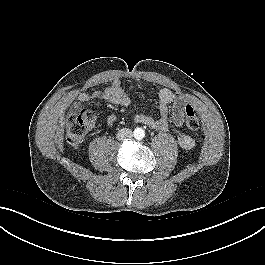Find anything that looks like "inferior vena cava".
<instances>
[{
    "label": "inferior vena cava",
    "instance_id": "1",
    "mask_svg": "<svg viewBox=\"0 0 265 265\" xmlns=\"http://www.w3.org/2000/svg\"><path fill=\"white\" fill-rule=\"evenodd\" d=\"M133 133L130 129L127 128H123L121 130L118 131L117 133V139L118 140H124V139H128V138H132Z\"/></svg>",
    "mask_w": 265,
    "mask_h": 265
}]
</instances>
